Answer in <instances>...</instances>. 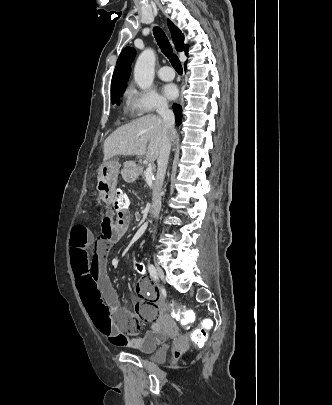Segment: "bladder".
Wrapping results in <instances>:
<instances>
[{
  "mask_svg": "<svg viewBox=\"0 0 332 405\" xmlns=\"http://www.w3.org/2000/svg\"><path fill=\"white\" fill-rule=\"evenodd\" d=\"M162 339L151 347H145L138 351L143 354H152L151 359L156 363H163L166 361L168 348L166 346L167 335L162 333Z\"/></svg>",
  "mask_w": 332,
  "mask_h": 405,
  "instance_id": "31cf9c89",
  "label": "bladder"
}]
</instances>
